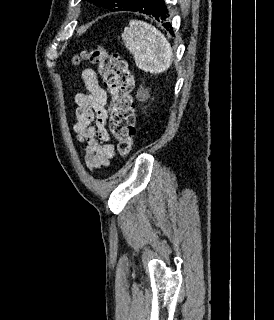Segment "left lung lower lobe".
I'll use <instances>...</instances> for the list:
<instances>
[{
	"label": "left lung lower lobe",
	"instance_id": "0a47b994",
	"mask_svg": "<svg viewBox=\"0 0 274 320\" xmlns=\"http://www.w3.org/2000/svg\"><path fill=\"white\" fill-rule=\"evenodd\" d=\"M123 10L140 12L149 15V17L155 18L158 21L162 20V25L167 30L170 28V23L165 21L168 18V10L163 0H135ZM170 33L174 35L172 28H170Z\"/></svg>",
	"mask_w": 274,
	"mask_h": 320
}]
</instances>
